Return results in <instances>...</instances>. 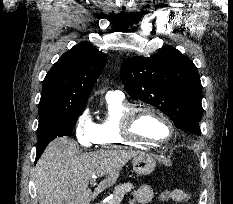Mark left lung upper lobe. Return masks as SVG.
<instances>
[{
  "instance_id": "left-lung-upper-lobe-1",
  "label": "left lung upper lobe",
  "mask_w": 233,
  "mask_h": 204,
  "mask_svg": "<svg viewBox=\"0 0 233 204\" xmlns=\"http://www.w3.org/2000/svg\"><path fill=\"white\" fill-rule=\"evenodd\" d=\"M121 78L130 96L159 108L178 129L201 134L200 77L180 51L165 46L152 57H132L122 64Z\"/></svg>"
}]
</instances>
